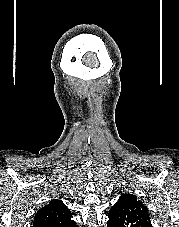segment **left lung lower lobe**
Returning a JSON list of instances; mask_svg holds the SVG:
<instances>
[{
    "instance_id": "1",
    "label": "left lung lower lobe",
    "mask_w": 179,
    "mask_h": 227,
    "mask_svg": "<svg viewBox=\"0 0 179 227\" xmlns=\"http://www.w3.org/2000/svg\"><path fill=\"white\" fill-rule=\"evenodd\" d=\"M107 227H113V225L108 222Z\"/></svg>"
}]
</instances>
